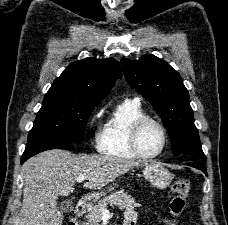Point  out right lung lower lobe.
Listing matches in <instances>:
<instances>
[{"label":"right lung lower lobe","mask_w":228,"mask_h":225,"mask_svg":"<svg viewBox=\"0 0 228 225\" xmlns=\"http://www.w3.org/2000/svg\"><path fill=\"white\" fill-rule=\"evenodd\" d=\"M58 148L74 150L72 143L67 140L44 139L37 142L28 143L22 155L21 164L35 154H38L42 151Z\"/></svg>","instance_id":"1"}]
</instances>
